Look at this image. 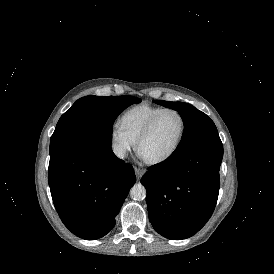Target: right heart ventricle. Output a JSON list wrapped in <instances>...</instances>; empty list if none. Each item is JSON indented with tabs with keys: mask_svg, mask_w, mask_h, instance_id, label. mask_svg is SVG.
I'll use <instances>...</instances> for the list:
<instances>
[{
	"mask_svg": "<svg viewBox=\"0 0 274 274\" xmlns=\"http://www.w3.org/2000/svg\"><path fill=\"white\" fill-rule=\"evenodd\" d=\"M161 110V107L149 104L133 106L124 111L119 117V126L132 140L135 141L147 123Z\"/></svg>",
	"mask_w": 274,
	"mask_h": 274,
	"instance_id": "obj_1",
	"label": "right heart ventricle"
}]
</instances>
